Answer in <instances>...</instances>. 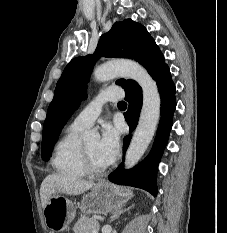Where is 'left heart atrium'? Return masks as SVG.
<instances>
[{
  "mask_svg": "<svg viewBox=\"0 0 227 233\" xmlns=\"http://www.w3.org/2000/svg\"><path fill=\"white\" fill-rule=\"evenodd\" d=\"M119 150V133L111 124H105L102 129L99 141V156L107 164H110L116 157Z\"/></svg>",
  "mask_w": 227,
  "mask_h": 233,
  "instance_id": "39dd6f15",
  "label": "left heart atrium"
}]
</instances>
